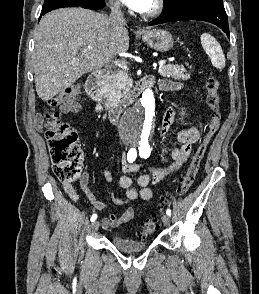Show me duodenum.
<instances>
[{
  "mask_svg": "<svg viewBox=\"0 0 259 294\" xmlns=\"http://www.w3.org/2000/svg\"><path fill=\"white\" fill-rule=\"evenodd\" d=\"M108 76V70L95 71L88 77L85 84L86 92L96 104L97 112H102L104 110L105 93L103 87ZM151 84L152 80L150 77H145L137 82L127 101L124 104L115 106L109 110L110 122L112 124H117L124 109L130 106L133 101L138 99L142 92Z\"/></svg>",
  "mask_w": 259,
  "mask_h": 294,
  "instance_id": "410a0bca",
  "label": "duodenum"
}]
</instances>
